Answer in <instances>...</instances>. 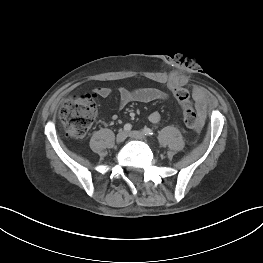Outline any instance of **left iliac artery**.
Masks as SVG:
<instances>
[{
  "mask_svg": "<svg viewBox=\"0 0 263 263\" xmlns=\"http://www.w3.org/2000/svg\"><path fill=\"white\" fill-rule=\"evenodd\" d=\"M143 133L145 134V135H147V136H152L154 133H153V131L150 129V128H147V127H145L144 129H143Z\"/></svg>",
  "mask_w": 263,
  "mask_h": 263,
  "instance_id": "44dca946",
  "label": "left iliac artery"
}]
</instances>
